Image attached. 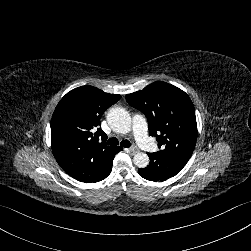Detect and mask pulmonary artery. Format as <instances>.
<instances>
[{"label":"pulmonary artery","mask_w":251,"mask_h":251,"mask_svg":"<svg viewBox=\"0 0 251 251\" xmlns=\"http://www.w3.org/2000/svg\"><path fill=\"white\" fill-rule=\"evenodd\" d=\"M133 127L139 147L143 151L155 153L159 149V144L150 138L147 129V118L143 114H137L133 118Z\"/></svg>","instance_id":"1"}]
</instances>
